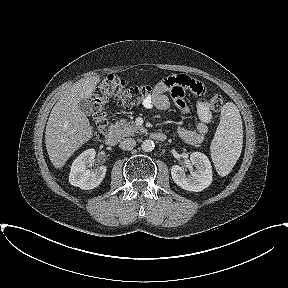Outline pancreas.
I'll list each match as a JSON object with an SVG mask.
<instances>
[{
  "label": "pancreas",
  "instance_id": "obj_1",
  "mask_svg": "<svg viewBox=\"0 0 288 288\" xmlns=\"http://www.w3.org/2000/svg\"><path fill=\"white\" fill-rule=\"evenodd\" d=\"M116 134L120 137L133 136L137 133H142L144 130L136 125L133 121L127 122L126 120H119L114 125Z\"/></svg>",
  "mask_w": 288,
  "mask_h": 288
}]
</instances>
